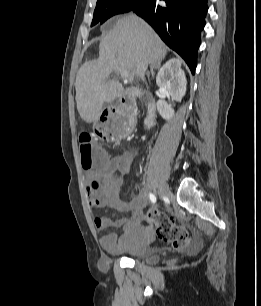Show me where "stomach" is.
Listing matches in <instances>:
<instances>
[{
	"instance_id": "stomach-1",
	"label": "stomach",
	"mask_w": 261,
	"mask_h": 306,
	"mask_svg": "<svg viewBox=\"0 0 261 306\" xmlns=\"http://www.w3.org/2000/svg\"><path fill=\"white\" fill-rule=\"evenodd\" d=\"M98 119H100V117H98ZM134 126H135L134 119L130 116H126L122 129L120 131V137H125L128 134H130L133 131Z\"/></svg>"
}]
</instances>
